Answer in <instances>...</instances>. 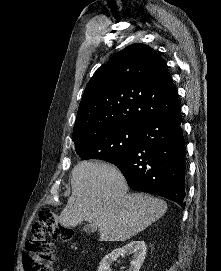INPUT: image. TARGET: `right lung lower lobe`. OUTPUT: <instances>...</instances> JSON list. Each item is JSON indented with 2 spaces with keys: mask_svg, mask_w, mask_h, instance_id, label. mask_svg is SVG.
Listing matches in <instances>:
<instances>
[{
  "mask_svg": "<svg viewBox=\"0 0 221 271\" xmlns=\"http://www.w3.org/2000/svg\"><path fill=\"white\" fill-rule=\"evenodd\" d=\"M180 108L142 126L137 143L113 162L132 190L159 195L185 208V141Z\"/></svg>",
  "mask_w": 221,
  "mask_h": 271,
  "instance_id": "right-lung-lower-lobe-1",
  "label": "right lung lower lobe"
}]
</instances>
